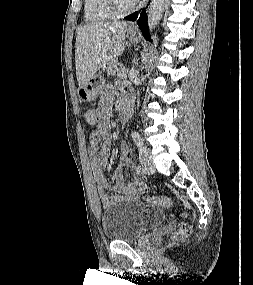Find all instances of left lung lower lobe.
<instances>
[{
  "mask_svg": "<svg viewBox=\"0 0 253 285\" xmlns=\"http://www.w3.org/2000/svg\"><path fill=\"white\" fill-rule=\"evenodd\" d=\"M137 17H138V12H135L131 15L126 16L125 19L135 21L137 19ZM137 23H138L144 37L148 40L149 39V28H148V24H147V15L144 11L140 14Z\"/></svg>",
  "mask_w": 253,
  "mask_h": 285,
  "instance_id": "left-lung-lower-lobe-1",
  "label": "left lung lower lobe"
}]
</instances>
